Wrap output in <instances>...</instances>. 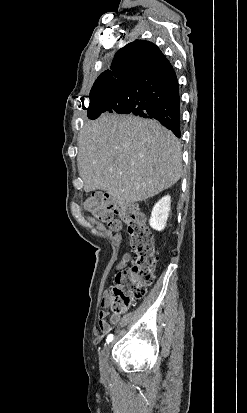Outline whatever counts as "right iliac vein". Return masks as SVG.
<instances>
[{
  "label": "right iliac vein",
  "mask_w": 247,
  "mask_h": 413,
  "mask_svg": "<svg viewBox=\"0 0 247 413\" xmlns=\"http://www.w3.org/2000/svg\"><path fill=\"white\" fill-rule=\"evenodd\" d=\"M109 349H110V345H106L103 348V350L99 353V363H100V368L102 370H104L107 366Z\"/></svg>",
  "instance_id": "right-iliac-vein-1"
}]
</instances>
